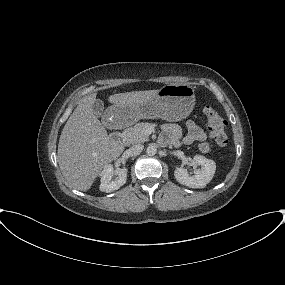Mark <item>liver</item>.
Masks as SVG:
<instances>
[{"mask_svg":"<svg viewBox=\"0 0 285 285\" xmlns=\"http://www.w3.org/2000/svg\"><path fill=\"white\" fill-rule=\"evenodd\" d=\"M158 90L132 91L109 96L114 105L132 106L156 95ZM96 93L80 100L67 120L58 144V163L63 176L75 189L87 191L102 168L117 159L123 144L111 138L93 114Z\"/></svg>","mask_w":285,"mask_h":285,"instance_id":"liver-1","label":"liver"}]
</instances>
